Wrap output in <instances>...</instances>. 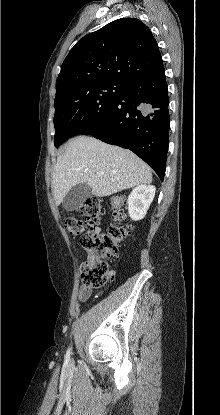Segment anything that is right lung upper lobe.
Returning <instances> with one entry per match:
<instances>
[{"mask_svg": "<svg viewBox=\"0 0 220 415\" xmlns=\"http://www.w3.org/2000/svg\"><path fill=\"white\" fill-rule=\"evenodd\" d=\"M163 67L150 29L136 18H121L78 41L65 58L56 94L80 83H128Z\"/></svg>", "mask_w": 220, "mask_h": 415, "instance_id": "1", "label": "right lung upper lobe"}]
</instances>
